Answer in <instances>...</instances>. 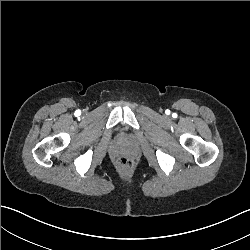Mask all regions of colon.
I'll return each instance as SVG.
<instances>
[{
	"instance_id": "colon-1",
	"label": "colon",
	"mask_w": 250,
	"mask_h": 250,
	"mask_svg": "<svg viewBox=\"0 0 250 250\" xmlns=\"http://www.w3.org/2000/svg\"><path fill=\"white\" fill-rule=\"evenodd\" d=\"M115 164L120 171L125 173H131L136 168L135 161L124 155L118 156L116 158Z\"/></svg>"
}]
</instances>
